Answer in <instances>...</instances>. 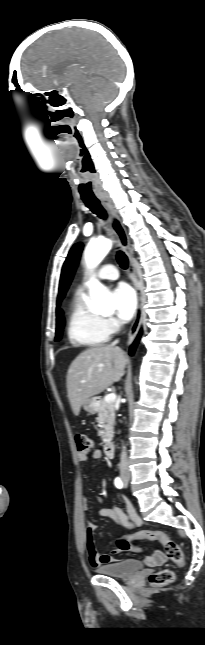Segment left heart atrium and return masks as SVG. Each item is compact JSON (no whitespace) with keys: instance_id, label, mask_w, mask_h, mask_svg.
I'll return each instance as SVG.
<instances>
[{"instance_id":"obj_1","label":"left heart atrium","mask_w":205,"mask_h":645,"mask_svg":"<svg viewBox=\"0 0 205 645\" xmlns=\"http://www.w3.org/2000/svg\"><path fill=\"white\" fill-rule=\"evenodd\" d=\"M113 297L116 302V314L123 321H129L137 309V297L133 289L126 285L120 284L114 291Z\"/></svg>"}]
</instances>
